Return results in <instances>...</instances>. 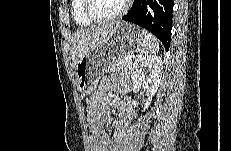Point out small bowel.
Wrapping results in <instances>:
<instances>
[{
    "instance_id": "1",
    "label": "small bowel",
    "mask_w": 231,
    "mask_h": 151,
    "mask_svg": "<svg viewBox=\"0 0 231 151\" xmlns=\"http://www.w3.org/2000/svg\"><path fill=\"white\" fill-rule=\"evenodd\" d=\"M110 91L117 95H122L126 91V87L123 83L104 79L101 81L95 94L91 96L87 106L92 151H120L127 127L134 117L130 100L127 97H123L116 103V110L123 115L112 123L114 134L109 135L105 131V125L110 122V100L108 97Z\"/></svg>"
}]
</instances>
